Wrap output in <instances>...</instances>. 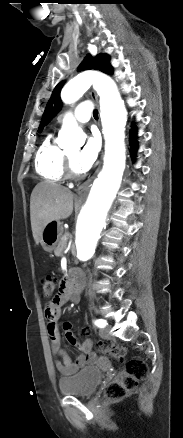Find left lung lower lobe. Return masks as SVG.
Returning <instances> with one entry per match:
<instances>
[{"instance_id": "0a47b994", "label": "left lung lower lobe", "mask_w": 183, "mask_h": 438, "mask_svg": "<svg viewBox=\"0 0 183 438\" xmlns=\"http://www.w3.org/2000/svg\"><path fill=\"white\" fill-rule=\"evenodd\" d=\"M136 136H135V130L133 129L131 131L130 134V144H131V148H132V153H135V150L137 149V144H136V140H135Z\"/></svg>"}]
</instances>
